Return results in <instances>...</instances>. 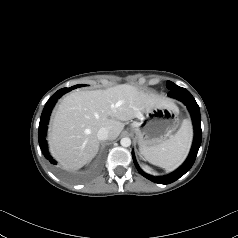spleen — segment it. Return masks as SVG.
<instances>
[{
    "instance_id": "obj_1",
    "label": "spleen",
    "mask_w": 238,
    "mask_h": 238,
    "mask_svg": "<svg viewBox=\"0 0 238 238\" xmlns=\"http://www.w3.org/2000/svg\"><path fill=\"white\" fill-rule=\"evenodd\" d=\"M192 138L191 122L185 119L175 135L157 146L142 150L141 153L151 164L165 168L167 171H172L186 159Z\"/></svg>"
}]
</instances>
